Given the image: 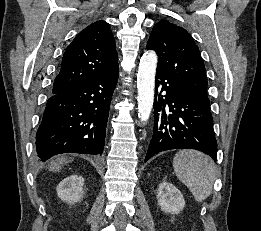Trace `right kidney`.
Here are the masks:
<instances>
[{
  "label": "right kidney",
  "mask_w": 261,
  "mask_h": 231,
  "mask_svg": "<svg viewBox=\"0 0 261 231\" xmlns=\"http://www.w3.org/2000/svg\"><path fill=\"white\" fill-rule=\"evenodd\" d=\"M84 178L78 175H70L62 180L57 188L58 197L69 204L78 202L83 197Z\"/></svg>",
  "instance_id": "obj_1"
}]
</instances>
